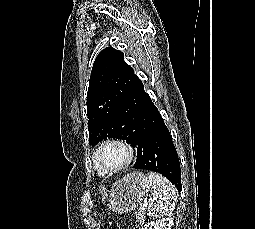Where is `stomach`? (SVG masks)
Listing matches in <instances>:
<instances>
[{
  "instance_id": "0dacf381",
  "label": "stomach",
  "mask_w": 255,
  "mask_h": 229,
  "mask_svg": "<svg viewBox=\"0 0 255 229\" xmlns=\"http://www.w3.org/2000/svg\"><path fill=\"white\" fill-rule=\"evenodd\" d=\"M149 190L150 182L144 173H129L113 184L109 196L110 208L119 214L133 211L140 206Z\"/></svg>"
}]
</instances>
